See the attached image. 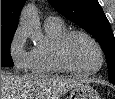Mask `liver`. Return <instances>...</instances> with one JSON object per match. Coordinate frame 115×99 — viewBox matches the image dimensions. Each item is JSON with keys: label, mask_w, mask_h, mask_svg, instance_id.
<instances>
[{"label": "liver", "mask_w": 115, "mask_h": 99, "mask_svg": "<svg viewBox=\"0 0 115 99\" xmlns=\"http://www.w3.org/2000/svg\"><path fill=\"white\" fill-rule=\"evenodd\" d=\"M80 84L64 76H16L1 71V99H60Z\"/></svg>", "instance_id": "6515ba94"}]
</instances>
